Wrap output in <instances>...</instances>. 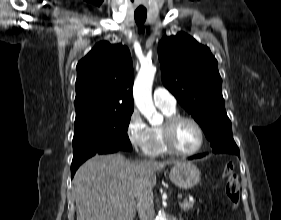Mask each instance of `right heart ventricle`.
Wrapping results in <instances>:
<instances>
[{"label":"right heart ventricle","mask_w":281,"mask_h":220,"mask_svg":"<svg viewBox=\"0 0 281 220\" xmlns=\"http://www.w3.org/2000/svg\"><path fill=\"white\" fill-rule=\"evenodd\" d=\"M160 110L163 112V114L168 118L170 116H173L175 113V110H166L160 108ZM170 153L162 140V135H161V127H151L150 128V144L148 147V150L146 152L147 155L152 156V157H157V156H163Z\"/></svg>","instance_id":"1"}]
</instances>
